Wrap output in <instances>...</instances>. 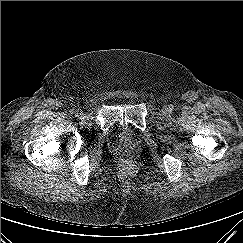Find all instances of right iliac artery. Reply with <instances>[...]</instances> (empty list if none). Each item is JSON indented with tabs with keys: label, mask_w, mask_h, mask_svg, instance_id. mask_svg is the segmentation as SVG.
I'll list each match as a JSON object with an SVG mask.
<instances>
[{
	"label": "right iliac artery",
	"mask_w": 243,
	"mask_h": 243,
	"mask_svg": "<svg viewBox=\"0 0 243 243\" xmlns=\"http://www.w3.org/2000/svg\"><path fill=\"white\" fill-rule=\"evenodd\" d=\"M70 113H71V114H74V113H75V110H74V109H71V110H70Z\"/></svg>",
	"instance_id": "obj_1"
}]
</instances>
